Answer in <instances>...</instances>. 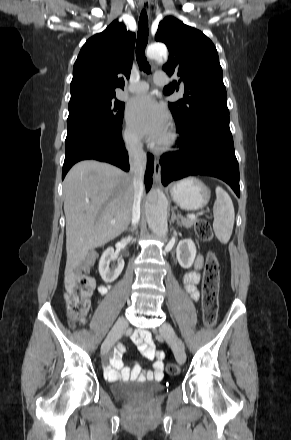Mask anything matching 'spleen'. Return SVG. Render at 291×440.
I'll use <instances>...</instances> for the list:
<instances>
[{
	"label": "spleen",
	"instance_id": "1",
	"mask_svg": "<svg viewBox=\"0 0 291 440\" xmlns=\"http://www.w3.org/2000/svg\"><path fill=\"white\" fill-rule=\"evenodd\" d=\"M215 191L216 201L213 206V229L218 240L226 244L233 231L235 220L234 206L230 196L222 187L217 186Z\"/></svg>",
	"mask_w": 291,
	"mask_h": 440
}]
</instances>
